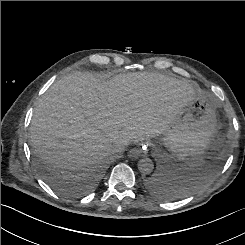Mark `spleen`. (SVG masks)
I'll use <instances>...</instances> for the list:
<instances>
[{"mask_svg": "<svg viewBox=\"0 0 245 245\" xmlns=\"http://www.w3.org/2000/svg\"><path fill=\"white\" fill-rule=\"evenodd\" d=\"M203 164V162L202 161H192V162H188V165L190 166V167H199V166H201Z\"/></svg>", "mask_w": 245, "mask_h": 245, "instance_id": "1", "label": "spleen"}]
</instances>
